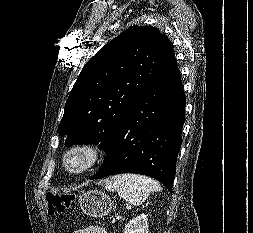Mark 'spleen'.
I'll list each match as a JSON object with an SVG mask.
<instances>
[{
  "label": "spleen",
  "mask_w": 253,
  "mask_h": 233,
  "mask_svg": "<svg viewBox=\"0 0 253 233\" xmlns=\"http://www.w3.org/2000/svg\"><path fill=\"white\" fill-rule=\"evenodd\" d=\"M105 189L117 192L132 205L142 204L151 192H161L162 188L155 180L138 174H120L112 177Z\"/></svg>",
  "instance_id": "1"
}]
</instances>
